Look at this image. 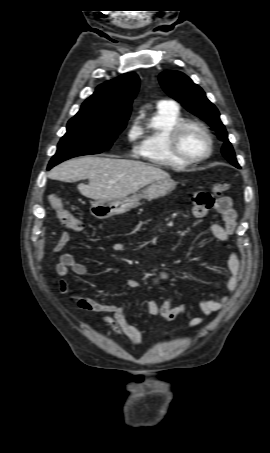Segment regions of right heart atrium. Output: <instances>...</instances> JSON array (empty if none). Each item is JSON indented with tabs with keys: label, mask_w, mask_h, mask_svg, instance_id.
<instances>
[{
	"label": "right heart atrium",
	"mask_w": 270,
	"mask_h": 453,
	"mask_svg": "<svg viewBox=\"0 0 270 453\" xmlns=\"http://www.w3.org/2000/svg\"><path fill=\"white\" fill-rule=\"evenodd\" d=\"M140 137V128L136 122L132 123L127 132V140L129 143L134 144Z\"/></svg>",
	"instance_id": "d8ad5b80"
}]
</instances>
